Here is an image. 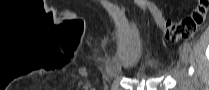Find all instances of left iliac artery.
Returning <instances> with one entry per match:
<instances>
[{
    "label": "left iliac artery",
    "mask_w": 209,
    "mask_h": 90,
    "mask_svg": "<svg viewBox=\"0 0 209 90\" xmlns=\"http://www.w3.org/2000/svg\"><path fill=\"white\" fill-rule=\"evenodd\" d=\"M183 47L187 50V52L191 51V45L188 42H184Z\"/></svg>",
    "instance_id": "1"
}]
</instances>
